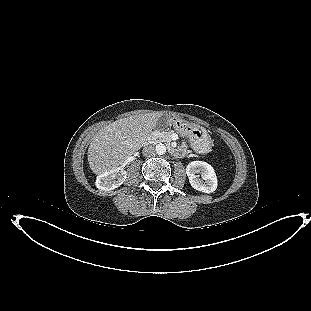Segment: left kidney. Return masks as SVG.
<instances>
[{"instance_id": "5707ae66", "label": "left kidney", "mask_w": 311, "mask_h": 311, "mask_svg": "<svg viewBox=\"0 0 311 311\" xmlns=\"http://www.w3.org/2000/svg\"><path fill=\"white\" fill-rule=\"evenodd\" d=\"M197 173L201 174L199 178ZM186 174L188 176L191 186L204 193H212L217 188V176L213 167L203 161H193L186 167Z\"/></svg>"}]
</instances>
